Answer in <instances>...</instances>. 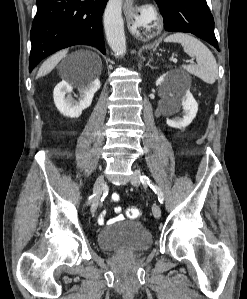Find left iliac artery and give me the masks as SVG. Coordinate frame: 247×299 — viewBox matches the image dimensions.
Instances as JSON below:
<instances>
[{"mask_svg":"<svg viewBox=\"0 0 247 299\" xmlns=\"http://www.w3.org/2000/svg\"><path fill=\"white\" fill-rule=\"evenodd\" d=\"M140 180L143 184H148L150 186V188L157 194L158 200L162 204L164 202V195L161 189L157 185L152 183V181L146 176H141Z\"/></svg>","mask_w":247,"mask_h":299,"instance_id":"44dca946","label":"left iliac artery"}]
</instances>
